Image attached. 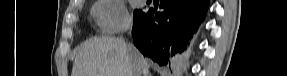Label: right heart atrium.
<instances>
[{
  "label": "right heart atrium",
  "mask_w": 287,
  "mask_h": 76,
  "mask_svg": "<svg viewBox=\"0 0 287 76\" xmlns=\"http://www.w3.org/2000/svg\"><path fill=\"white\" fill-rule=\"evenodd\" d=\"M93 14L100 30L106 34L118 33L126 29L130 22L126 8L119 0H99Z\"/></svg>",
  "instance_id": "1"
}]
</instances>
